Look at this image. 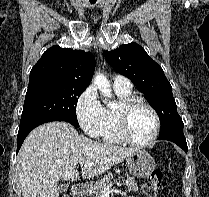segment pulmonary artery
<instances>
[{
    "instance_id": "pulmonary-artery-1",
    "label": "pulmonary artery",
    "mask_w": 209,
    "mask_h": 197,
    "mask_svg": "<svg viewBox=\"0 0 209 197\" xmlns=\"http://www.w3.org/2000/svg\"><path fill=\"white\" fill-rule=\"evenodd\" d=\"M113 87L117 89H131L132 84L128 78L122 75H115L113 78Z\"/></svg>"
}]
</instances>
